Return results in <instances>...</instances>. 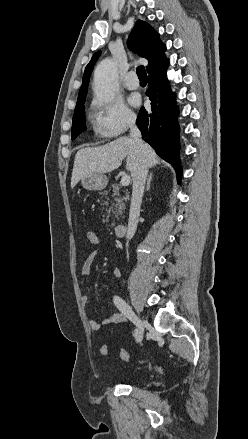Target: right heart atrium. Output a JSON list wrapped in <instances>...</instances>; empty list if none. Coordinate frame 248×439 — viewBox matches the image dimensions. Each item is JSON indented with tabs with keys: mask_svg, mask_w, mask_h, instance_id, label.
<instances>
[{
	"mask_svg": "<svg viewBox=\"0 0 248 439\" xmlns=\"http://www.w3.org/2000/svg\"><path fill=\"white\" fill-rule=\"evenodd\" d=\"M92 120L95 131L100 137L116 138L135 124L136 115L120 99L108 102L94 100Z\"/></svg>",
	"mask_w": 248,
	"mask_h": 439,
	"instance_id": "1",
	"label": "right heart atrium"
}]
</instances>
